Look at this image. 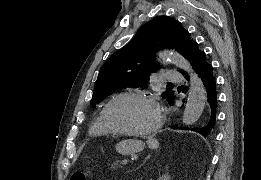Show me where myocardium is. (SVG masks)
<instances>
[{
  "mask_svg": "<svg viewBox=\"0 0 261 180\" xmlns=\"http://www.w3.org/2000/svg\"><path fill=\"white\" fill-rule=\"evenodd\" d=\"M129 96H136V97H141V98L147 99L150 102H152L155 106L154 121H153V124H152L150 130L147 131L146 133H142V134L120 133L112 127V125L110 124V122L107 119L106 114H107L108 108L110 106H112L117 100H119L123 97H129ZM101 118H102L103 124H104L105 128L107 129V131L109 133H111L113 136H115L116 138L131 139V140H148V139H151L152 137H154L158 133V131L161 127V124H162L163 111H162L161 101L156 95H154L148 91H145V90H126V91H122V92L115 94L108 100V102L104 105V107L101 110Z\"/></svg>",
  "mask_w": 261,
  "mask_h": 180,
  "instance_id": "f54148a6",
  "label": "myocardium"
}]
</instances>
